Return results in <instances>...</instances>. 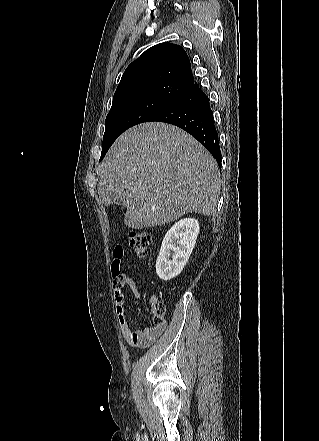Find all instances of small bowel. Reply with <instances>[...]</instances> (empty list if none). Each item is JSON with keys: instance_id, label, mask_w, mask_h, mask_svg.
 I'll use <instances>...</instances> for the list:
<instances>
[{"instance_id": "1", "label": "small bowel", "mask_w": 319, "mask_h": 441, "mask_svg": "<svg viewBox=\"0 0 319 441\" xmlns=\"http://www.w3.org/2000/svg\"><path fill=\"white\" fill-rule=\"evenodd\" d=\"M123 255V248L121 246H116L113 250L115 265H118L123 258ZM125 287H128L136 298L146 300L143 294L139 291L135 280L125 272L119 270L118 278H114V299L121 334L129 345L139 348L147 347L153 344L162 335L165 329V323L163 322L160 326L134 329L129 323L127 317L128 309L124 295ZM148 302L154 303L156 302V299L152 297Z\"/></svg>"}]
</instances>
